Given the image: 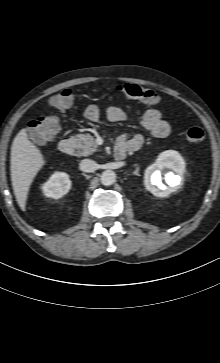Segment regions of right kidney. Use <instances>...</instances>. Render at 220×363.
<instances>
[{"label":"right kidney","mask_w":220,"mask_h":363,"mask_svg":"<svg viewBox=\"0 0 220 363\" xmlns=\"http://www.w3.org/2000/svg\"><path fill=\"white\" fill-rule=\"evenodd\" d=\"M71 180L66 173L55 172L49 180L43 184L42 191L46 197L59 199L69 192Z\"/></svg>","instance_id":"ca27d5eb"}]
</instances>
